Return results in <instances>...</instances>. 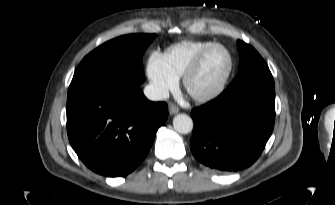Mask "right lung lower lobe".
<instances>
[{"instance_id":"1","label":"right lung lower lobe","mask_w":335,"mask_h":205,"mask_svg":"<svg viewBox=\"0 0 335 205\" xmlns=\"http://www.w3.org/2000/svg\"><path fill=\"white\" fill-rule=\"evenodd\" d=\"M70 144L92 171L109 177L131 173L149 152L168 116L139 86L95 85L67 96Z\"/></svg>"}]
</instances>
